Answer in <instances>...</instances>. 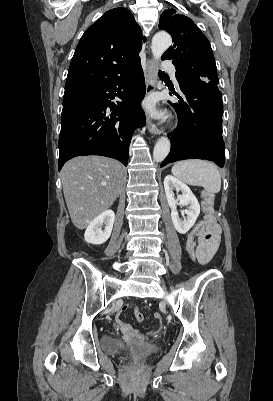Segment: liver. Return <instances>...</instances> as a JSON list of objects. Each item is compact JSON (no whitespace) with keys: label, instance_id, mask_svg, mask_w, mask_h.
I'll use <instances>...</instances> for the list:
<instances>
[{"label":"liver","instance_id":"6515ba94","mask_svg":"<svg viewBox=\"0 0 273 401\" xmlns=\"http://www.w3.org/2000/svg\"><path fill=\"white\" fill-rule=\"evenodd\" d=\"M124 166L106 156H76L61 170L66 205L74 227L86 229L121 192ZM107 182V184H101Z\"/></svg>","mask_w":273,"mask_h":401}]
</instances>
